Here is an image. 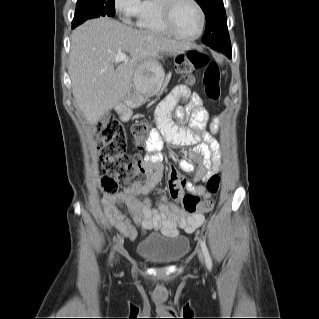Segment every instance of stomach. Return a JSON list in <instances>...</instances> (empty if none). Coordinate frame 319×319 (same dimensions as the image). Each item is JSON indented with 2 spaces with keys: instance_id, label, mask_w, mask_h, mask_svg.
<instances>
[{
  "instance_id": "obj_1",
  "label": "stomach",
  "mask_w": 319,
  "mask_h": 319,
  "mask_svg": "<svg viewBox=\"0 0 319 319\" xmlns=\"http://www.w3.org/2000/svg\"><path fill=\"white\" fill-rule=\"evenodd\" d=\"M162 58L163 53H160L157 58L143 61L137 67L133 84L140 99L152 97L160 91L165 77L164 70L158 61Z\"/></svg>"
}]
</instances>
